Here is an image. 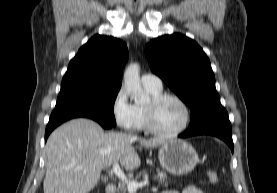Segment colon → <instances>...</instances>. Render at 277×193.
<instances>
[{
	"mask_svg": "<svg viewBox=\"0 0 277 193\" xmlns=\"http://www.w3.org/2000/svg\"><path fill=\"white\" fill-rule=\"evenodd\" d=\"M207 177H208L210 184H212V185H217L220 182L219 174L216 171L209 170L207 172Z\"/></svg>",
	"mask_w": 277,
	"mask_h": 193,
	"instance_id": "5ec220e1",
	"label": "colon"
}]
</instances>
